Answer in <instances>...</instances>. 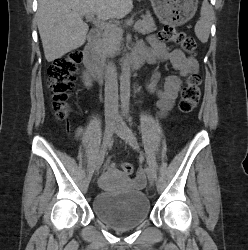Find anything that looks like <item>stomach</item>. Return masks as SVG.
Segmentation results:
<instances>
[{"label":"stomach","mask_w":248,"mask_h":250,"mask_svg":"<svg viewBox=\"0 0 248 250\" xmlns=\"http://www.w3.org/2000/svg\"><path fill=\"white\" fill-rule=\"evenodd\" d=\"M151 4L162 23L178 26L195 15L198 0H151Z\"/></svg>","instance_id":"stomach-1"}]
</instances>
